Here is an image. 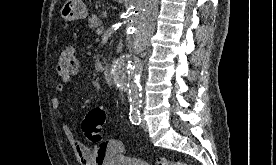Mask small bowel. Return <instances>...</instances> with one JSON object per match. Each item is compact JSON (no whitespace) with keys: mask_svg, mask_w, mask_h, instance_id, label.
<instances>
[{"mask_svg":"<svg viewBox=\"0 0 276 165\" xmlns=\"http://www.w3.org/2000/svg\"><path fill=\"white\" fill-rule=\"evenodd\" d=\"M71 77H62L61 82L55 85V89L61 92L65 88V83L70 81ZM52 107L56 118L60 121L62 129L66 136V139L76 157L79 165H108L118 154L122 153L123 147L121 142L113 140L117 143L121 150L117 152H108L100 154L98 148L91 149L84 144H82L74 135L70 126L67 124L64 118V113L61 108L60 100L57 97H52L51 99Z\"/></svg>","mask_w":276,"mask_h":165,"instance_id":"c3829d8e","label":"small bowel"}]
</instances>
